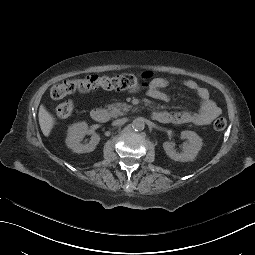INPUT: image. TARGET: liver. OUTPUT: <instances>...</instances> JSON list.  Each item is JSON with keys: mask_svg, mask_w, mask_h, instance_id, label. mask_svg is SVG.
I'll return each instance as SVG.
<instances>
[{"mask_svg": "<svg viewBox=\"0 0 255 255\" xmlns=\"http://www.w3.org/2000/svg\"><path fill=\"white\" fill-rule=\"evenodd\" d=\"M39 124L41 131L46 138H49L52 130L57 125L56 117L51 114L43 104H41L39 108Z\"/></svg>", "mask_w": 255, "mask_h": 255, "instance_id": "6515ba94", "label": "liver"}]
</instances>
